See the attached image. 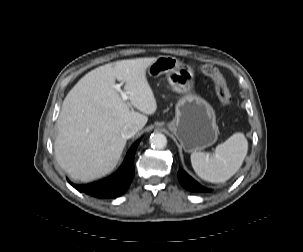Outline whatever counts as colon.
Returning <instances> with one entry per match:
<instances>
[{"label": "colon", "mask_w": 303, "mask_h": 252, "mask_svg": "<svg viewBox=\"0 0 303 252\" xmlns=\"http://www.w3.org/2000/svg\"><path fill=\"white\" fill-rule=\"evenodd\" d=\"M200 71L203 75L212 79L217 96L221 104L228 107L232 104V98L222 73L213 65L204 64Z\"/></svg>", "instance_id": "obj_1"}]
</instances>
